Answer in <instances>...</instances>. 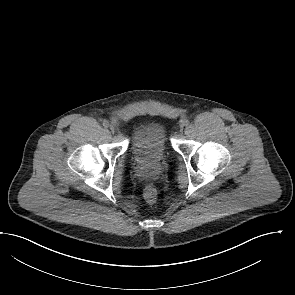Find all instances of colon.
Returning a JSON list of instances; mask_svg holds the SVG:
<instances>
[{
	"instance_id": "5ec220e1",
	"label": "colon",
	"mask_w": 295,
	"mask_h": 295,
	"mask_svg": "<svg viewBox=\"0 0 295 295\" xmlns=\"http://www.w3.org/2000/svg\"><path fill=\"white\" fill-rule=\"evenodd\" d=\"M144 198L149 203H153V202L156 201L157 190L153 185L149 184V185H147L145 187V189H144Z\"/></svg>"
}]
</instances>
